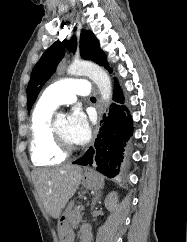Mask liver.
I'll return each mask as SVG.
<instances>
[{
    "label": "liver",
    "instance_id": "1",
    "mask_svg": "<svg viewBox=\"0 0 187 242\" xmlns=\"http://www.w3.org/2000/svg\"><path fill=\"white\" fill-rule=\"evenodd\" d=\"M37 193L48 214L57 219L81 183L82 169L78 165H64L33 172Z\"/></svg>",
    "mask_w": 187,
    "mask_h": 242
}]
</instances>
